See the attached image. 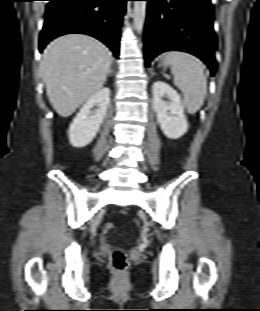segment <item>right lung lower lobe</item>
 Returning a JSON list of instances; mask_svg holds the SVG:
<instances>
[{"label": "right lung lower lobe", "instance_id": "obj_1", "mask_svg": "<svg viewBox=\"0 0 260 311\" xmlns=\"http://www.w3.org/2000/svg\"><path fill=\"white\" fill-rule=\"evenodd\" d=\"M128 0H49L39 50L54 38L82 33L106 44L118 56L120 28Z\"/></svg>", "mask_w": 260, "mask_h": 311}]
</instances>
